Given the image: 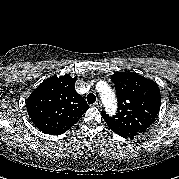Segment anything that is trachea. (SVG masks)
Listing matches in <instances>:
<instances>
[{
	"label": "trachea",
	"mask_w": 179,
	"mask_h": 179,
	"mask_svg": "<svg viewBox=\"0 0 179 179\" xmlns=\"http://www.w3.org/2000/svg\"><path fill=\"white\" fill-rule=\"evenodd\" d=\"M87 101L89 104H93L96 101V96L93 93L87 95Z\"/></svg>",
	"instance_id": "3493384b"
}]
</instances>
